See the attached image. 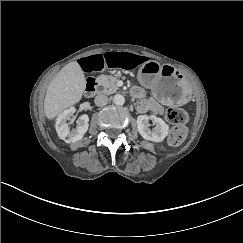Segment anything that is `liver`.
<instances>
[{
    "instance_id": "6515ba94",
    "label": "liver",
    "mask_w": 243,
    "mask_h": 243,
    "mask_svg": "<svg viewBox=\"0 0 243 243\" xmlns=\"http://www.w3.org/2000/svg\"><path fill=\"white\" fill-rule=\"evenodd\" d=\"M86 88V80L80 65L71 62L65 65L47 88L44 111L53 119L65 109L80 101Z\"/></svg>"
}]
</instances>
